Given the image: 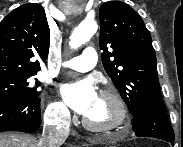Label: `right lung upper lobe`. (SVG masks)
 Instances as JSON below:
<instances>
[{
  "mask_svg": "<svg viewBox=\"0 0 183 147\" xmlns=\"http://www.w3.org/2000/svg\"><path fill=\"white\" fill-rule=\"evenodd\" d=\"M49 44L50 30L41 5L24 4L13 10L0 23V79L36 74L40 61H46Z\"/></svg>",
  "mask_w": 183,
  "mask_h": 147,
  "instance_id": "1",
  "label": "right lung upper lobe"
}]
</instances>
